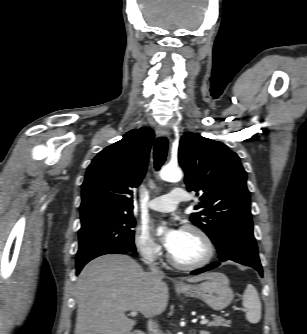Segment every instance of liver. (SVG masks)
I'll return each instance as SVG.
<instances>
[{"label": "liver", "instance_id": "1", "mask_svg": "<svg viewBox=\"0 0 307 334\" xmlns=\"http://www.w3.org/2000/svg\"><path fill=\"white\" fill-rule=\"evenodd\" d=\"M212 275L203 273L186 280L199 282ZM168 299L162 277L144 272L130 256H100L86 264L77 279L75 334H131L136 321L126 311L152 317L165 311Z\"/></svg>", "mask_w": 307, "mask_h": 334}]
</instances>
